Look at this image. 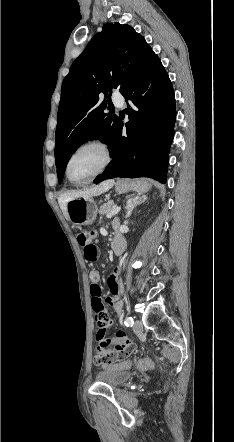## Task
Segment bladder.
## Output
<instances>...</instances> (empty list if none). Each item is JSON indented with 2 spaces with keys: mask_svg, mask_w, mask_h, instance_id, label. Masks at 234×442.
<instances>
[{
  "mask_svg": "<svg viewBox=\"0 0 234 442\" xmlns=\"http://www.w3.org/2000/svg\"><path fill=\"white\" fill-rule=\"evenodd\" d=\"M133 373L128 368L111 367L101 369L96 373V378L110 386H119L127 382Z\"/></svg>",
  "mask_w": 234,
  "mask_h": 442,
  "instance_id": "1",
  "label": "bladder"
}]
</instances>
